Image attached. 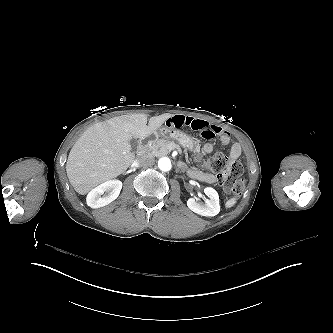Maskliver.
I'll use <instances>...</instances> for the list:
<instances>
[{
	"instance_id": "liver-1",
	"label": "liver",
	"mask_w": 333,
	"mask_h": 333,
	"mask_svg": "<svg viewBox=\"0 0 333 333\" xmlns=\"http://www.w3.org/2000/svg\"><path fill=\"white\" fill-rule=\"evenodd\" d=\"M147 114H126L90 126L71 148L66 173L80 195L119 177L135 160L132 139H146L174 114L164 113L149 119Z\"/></svg>"
}]
</instances>
